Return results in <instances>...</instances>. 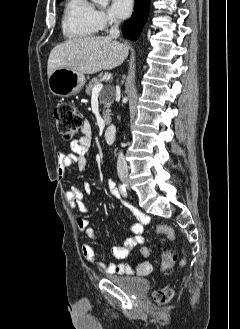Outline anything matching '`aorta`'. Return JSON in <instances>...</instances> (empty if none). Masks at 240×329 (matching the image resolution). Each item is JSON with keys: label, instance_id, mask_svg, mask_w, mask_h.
<instances>
[{"label": "aorta", "instance_id": "762f6f07", "mask_svg": "<svg viewBox=\"0 0 240 329\" xmlns=\"http://www.w3.org/2000/svg\"><path fill=\"white\" fill-rule=\"evenodd\" d=\"M92 1L104 7L107 6L109 3V0H92Z\"/></svg>", "mask_w": 240, "mask_h": 329}]
</instances>
